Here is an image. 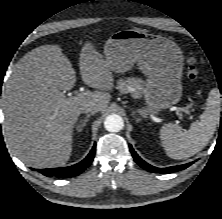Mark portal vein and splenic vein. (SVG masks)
Listing matches in <instances>:
<instances>
[{
  "label": "portal vein and splenic vein",
  "mask_w": 222,
  "mask_h": 219,
  "mask_svg": "<svg viewBox=\"0 0 222 219\" xmlns=\"http://www.w3.org/2000/svg\"><path fill=\"white\" fill-rule=\"evenodd\" d=\"M90 93L89 92H81V93H79L77 96L78 97H84V96H88ZM178 112H180V113H182V112H184V113H186V114H190V111L188 110V109H186V108H184V107H178L177 109H176ZM182 115L180 114L179 115V119L180 120H182Z\"/></svg>",
  "instance_id": "18ae733b"
}]
</instances>
